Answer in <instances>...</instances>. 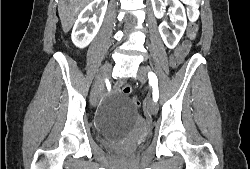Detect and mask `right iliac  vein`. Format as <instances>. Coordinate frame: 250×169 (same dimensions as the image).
<instances>
[{"mask_svg": "<svg viewBox=\"0 0 250 169\" xmlns=\"http://www.w3.org/2000/svg\"><path fill=\"white\" fill-rule=\"evenodd\" d=\"M110 68L111 67L109 65L104 66L96 77L90 98V101L94 107L98 105L99 98L101 95V89L103 88L104 80L108 77V70Z\"/></svg>", "mask_w": 250, "mask_h": 169, "instance_id": "obj_1", "label": "right iliac vein"}]
</instances>
